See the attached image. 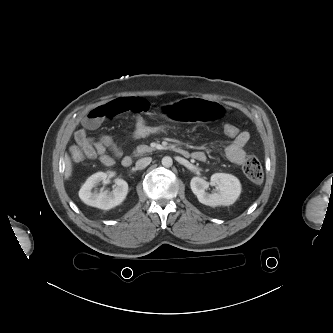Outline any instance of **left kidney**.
Returning a JSON list of instances; mask_svg holds the SVG:
<instances>
[{"label":"left kidney","mask_w":333,"mask_h":333,"mask_svg":"<svg viewBox=\"0 0 333 333\" xmlns=\"http://www.w3.org/2000/svg\"><path fill=\"white\" fill-rule=\"evenodd\" d=\"M211 181L217 186V192L207 193L209 182L200 177H193L190 182L192 192L197 196L199 202L204 205L229 206L232 205L241 193V184L239 180L225 173H215L211 176Z\"/></svg>","instance_id":"5707ae66"}]
</instances>
